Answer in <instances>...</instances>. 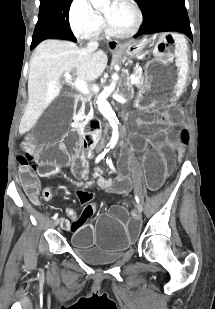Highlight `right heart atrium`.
I'll return each instance as SVG.
<instances>
[{"label": "right heart atrium", "instance_id": "right-heart-atrium-1", "mask_svg": "<svg viewBox=\"0 0 215 309\" xmlns=\"http://www.w3.org/2000/svg\"><path fill=\"white\" fill-rule=\"evenodd\" d=\"M69 11V28L78 38L88 36L92 29H98L100 14L89 6L88 0H72Z\"/></svg>", "mask_w": 215, "mask_h": 309}]
</instances>
